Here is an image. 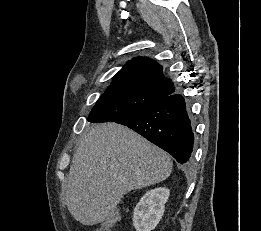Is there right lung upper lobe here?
Returning a JSON list of instances; mask_svg holds the SVG:
<instances>
[{
  "label": "right lung upper lobe",
  "mask_w": 261,
  "mask_h": 231,
  "mask_svg": "<svg viewBox=\"0 0 261 231\" xmlns=\"http://www.w3.org/2000/svg\"><path fill=\"white\" fill-rule=\"evenodd\" d=\"M136 87L163 99L175 92L170 79L163 75L162 66L154 60L136 57L115 76L107 90ZM106 90V91H107Z\"/></svg>",
  "instance_id": "1"
}]
</instances>
